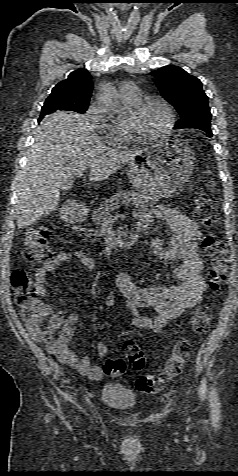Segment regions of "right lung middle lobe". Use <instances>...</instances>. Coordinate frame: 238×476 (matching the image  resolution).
Instances as JSON below:
<instances>
[{
  "instance_id": "1",
  "label": "right lung middle lobe",
  "mask_w": 238,
  "mask_h": 476,
  "mask_svg": "<svg viewBox=\"0 0 238 476\" xmlns=\"http://www.w3.org/2000/svg\"><path fill=\"white\" fill-rule=\"evenodd\" d=\"M88 106L87 105H75L71 103L70 101L67 100L64 96H61L59 94H54L52 96H49L43 107H42V112L40 115V119L45 116L46 114H49L51 112L59 111V110H66V111H74L78 113H84L87 110Z\"/></svg>"
}]
</instances>
